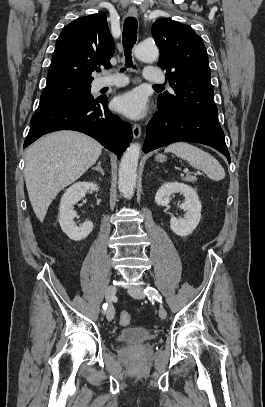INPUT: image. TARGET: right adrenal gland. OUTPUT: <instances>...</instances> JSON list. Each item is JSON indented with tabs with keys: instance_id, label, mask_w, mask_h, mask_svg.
<instances>
[{
	"instance_id": "right-adrenal-gland-1",
	"label": "right adrenal gland",
	"mask_w": 265,
	"mask_h": 407,
	"mask_svg": "<svg viewBox=\"0 0 265 407\" xmlns=\"http://www.w3.org/2000/svg\"><path fill=\"white\" fill-rule=\"evenodd\" d=\"M92 170L98 171V172H100L102 174V176H104V171L101 168V161H98L97 166L93 167Z\"/></svg>"
}]
</instances>
